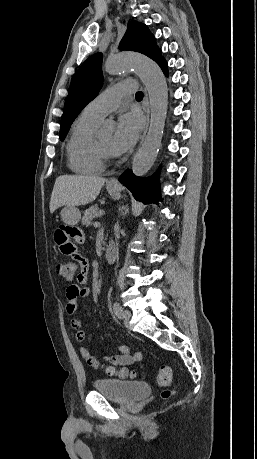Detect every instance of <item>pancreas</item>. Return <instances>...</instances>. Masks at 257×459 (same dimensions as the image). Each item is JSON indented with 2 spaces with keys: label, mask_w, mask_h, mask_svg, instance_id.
Instances as JSON below:
<instances>
[{
  "label": "pancreas",
  "mask_w": 257,
  "mask_h": 459,
  "mask_svg": "<svg viewBox=\"0 0 257 459\" xmlns=\"http://www.w3.org/2000/svg\"><path fill=\"white\" fill-rule=\"evenodd\" d=\"M100 211L101 210L99 209L98 205H93L86 209L82 218V224L89 226L92 222V219L97 217Z\"/></svg>",
  "instance_id": "1"
}]
</instances>
